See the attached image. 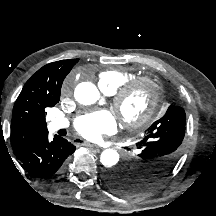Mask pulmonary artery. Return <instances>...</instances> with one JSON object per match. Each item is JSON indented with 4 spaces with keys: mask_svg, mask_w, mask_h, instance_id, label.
Listing matches in <instances>:
<instances>
[{
    "mask_svg": "<svg viewBox=\"0 0 216 216\" xmlns=\"http://www.w3.org/2000/svg\"><path fill=\"white\" fill-rule=\"evenodd\" d=\"M69 125V122L67 119L65 118H54L50 121L49 123V128L52 130V131H57V130H60V129H64L66 127H68Z\"/></svg>",
    "mask_w": 216,
    "mask_h": 216,
    "instance_id": "1",
    "label": "pulmonary artery"
}]
</instances>
